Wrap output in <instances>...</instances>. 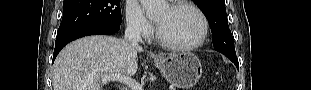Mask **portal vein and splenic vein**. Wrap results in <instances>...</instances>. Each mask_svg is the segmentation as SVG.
<instances>
[{
  "instance_id": "portal-vein-and-splenic-vein-1",
  "label": "portal vein and splenic vein",
  "mask_w": 311,
  "mask_h": 90,
  "mask_svg": "<svg viewBox=\"0 0 311 90\" xmlns=\"http://www.w3.org/2000/svg\"><path fill=\"white\" fill-rule=\"evenodd\" d=\"M103 80L105 82L107 81H119L123 84H126L131 88V90H143V86L136 82L135 80L131 79L128 76L122 75L120 73L117 74H111V75H106L104 76Z\"/></svg>"
}]
</instances>
